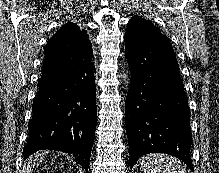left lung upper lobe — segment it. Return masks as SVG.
Listing matches in <instances>:
<instances>
[{
	"label": "left lung upper lobe",
	"mask_w": 219,
	"mask_h": 173,
	"mask_svg": "<svg viewBox=\"0 0 219 173\" xmlns=\"http://www.w3.org/2000/svg\"><path fill=\"white\" fill-rule=\"evenodd\" d=\"M125 38L169 41L168 38L160 32L159 28L155 27L150 21L138 16H134L129 20Z\"/></svg>",
	"instance_id": "5c2ea615"
}]
</instances>
